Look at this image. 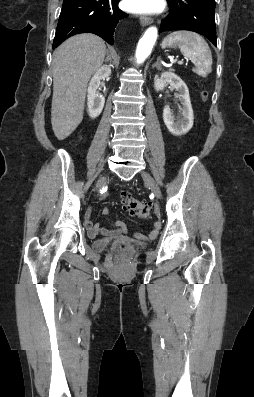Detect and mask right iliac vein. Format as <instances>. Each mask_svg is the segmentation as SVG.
<instances>
[{"label":"right iliac vein","mask_w":254,"mask_h":397,"mask_svg":"<svg viewBox=\"0 0 254 397\" xmlns=\"http://www.w3.org/2000/svg\"><path fill=\"white\" fill-rule=\"evenodd\" d=\"M105 181H106V177L105 176L101 177L96 184V189L101 188L104 185Z\"/></svg>","instance_id":"right-iliac-vein-1"}]
</instances>
